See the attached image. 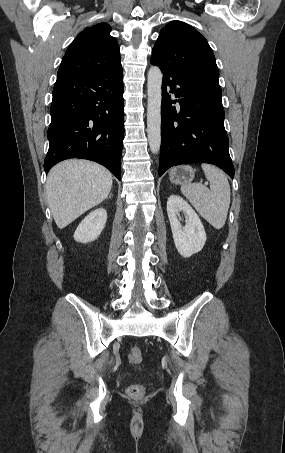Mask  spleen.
<instances>
[{
    "mask_svg": "<svg viewBox=\"0 0 285 453\" xmlns=\"http://www.w3.org/2000/svg\"><path fill=\"white\" fill-rule=\"evenodd\" d=\"M210 189L200 183L181 186V192L197 212L215 229L223 228L230 206V185L227 176L219 168L202 164Z\"/></svg>",
    "mask_w": 285,
    "mask_h": 453,
    "instance_id": "1",
    "label": "spleen"
}]
</instances>
